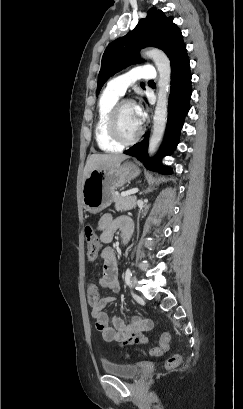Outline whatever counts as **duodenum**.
Instances as JSON below:
<instances>
[{
    "instance_id": "obj_1",
    "label": "duodenum",
    "mask_w": 243,
    "mask_h": 409,
    "mask_svg": "<svg viewBox=\"0 0 243 409\" xmlns=\"http://www.w3.org/2000/svg\"><path fill=\"white\" fill-rule=\"evenodd\" d=\"M132 233L129 230H126L122 235V242L124 245H127L131 239Z\"/></svg>"
}]
</instances>
